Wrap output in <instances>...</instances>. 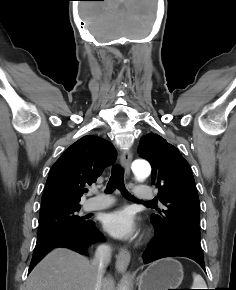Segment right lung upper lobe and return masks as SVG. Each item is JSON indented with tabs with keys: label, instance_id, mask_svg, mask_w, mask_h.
<instances>
[{
	"label": "right lung upper lobe",
	"instance_id": "right-lung-upper-lobe-1",
	"mask_svg": "<svg viewBox=\"0 0 236 290\" xmlns=\"http://www.w3.org/2000/svg\"><path fill=\"white\" fill-rule=\"evenodd\" d=\"M116 158L111 142L84 136L73 143L52 166L42 196V210L79 205L86 191Z\"/></svg>",
	"mask_w": 236,
	"mask_h": 290
}]
</instances>
